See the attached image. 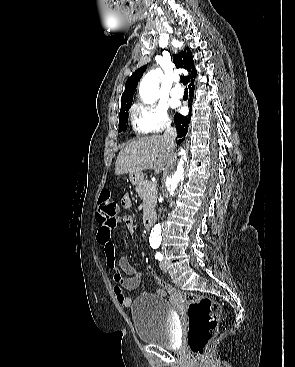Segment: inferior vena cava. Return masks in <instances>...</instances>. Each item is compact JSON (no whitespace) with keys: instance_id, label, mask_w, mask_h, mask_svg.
<instances>
[{"instance_id":"602c4592","label":"inferior vena cava","mask_w":295,"mask_h":367,"mask_svg":"<svg viewBox=\"0 0 295 367\" xmlns=\"http://www.w3.org/2000/svg\"><path fill=\"white\" fill-rule=\"evenodd\" d=\"M176 136H177V130L171 126H167L163 137L170 149H174Z\"/></svg>"}]
</instances>
